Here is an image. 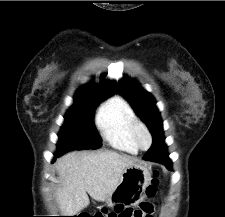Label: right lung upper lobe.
Listing matches in <instances>:
<instances>
[{
	"instance_id": "cb5924a9",
	"label": "right lung upper lobe",
	"mask_w": 225,
	"mask_h": 217,
	"mask_svg": "<svg viewBox=\"0 0 225 217\" xmlns=\"http://www.w3.org/2000/svg\"><path fill=\"white\" fill-rule=\"evenodd\" d=\"M116 91V83L113 81H108L101 77L99 84L94 82L88 83L76 92L75 98L80 97H93V98H104L113 95Z\"/></svg>"
}]
</instances>
